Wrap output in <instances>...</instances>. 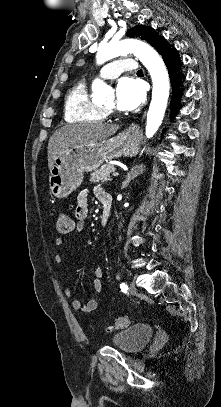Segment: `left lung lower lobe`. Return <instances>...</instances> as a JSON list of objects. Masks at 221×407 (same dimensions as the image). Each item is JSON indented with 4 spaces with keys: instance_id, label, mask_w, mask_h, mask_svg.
<instances>
[{
    "instance_id": "0a47b994",
    "label": "left lung lower lobe",
    "mask_w": 221,
    "mask_h": 407,
    "mask_svg": "<svg viewBox=\"0 0 221 407\" xmlns=\"http://www.w3.org/2000/svg\"><path fill=\"white\" fill-rule=\"evenodd\" d=\"M158 53L162 56L167 68L172 84V100H171V117H175L180 109V98L183 93V81L185 76L181 70L182 62L179 58L177 50L170 45L164 37H160L157 41L156 48ZM165 129L163 130V133ZM162 133V134H163Z\"/></svg>"
}]
</instances>
